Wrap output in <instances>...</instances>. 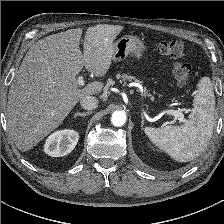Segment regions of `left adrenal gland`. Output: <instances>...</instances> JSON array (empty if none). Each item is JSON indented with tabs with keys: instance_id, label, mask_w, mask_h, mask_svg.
I'll use <instances>...</instances> for the list:
<instances>
[{
	"instance_id": "a2214340",
	"label": "left adrenal gland",
	"mask_w": 224,
	"mask_h": 224,
	"mask_svg": "<svg viewBox=\"0 0 224 224\" xmlns=\"http://www.w3.org/2000/svg\"><path fill=\"white\" fill-rule=\"evenodd\" d=\"M141 118H142V120H141V127H143L144 126V116H143V114H141Z\"/></svg>"
}]
</instances>
